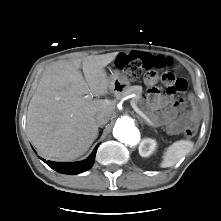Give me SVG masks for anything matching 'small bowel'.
<instances>
[{"instance_id":"small-bowel-1","label":"small bowel","mask_w":221,"mask_h":221,"mask_svg":"<svg viewBox=\"0 0 221 221\" xmlns=\"http://www.w3.org/2000/svg\"><path fill=\"white\" fill-rule=\"evenodd\" d=\"M121 54H130L133 57H137L140 54H147L151 57L154 56L150 53L136 51ZM156 80L157 77L155 74L146 78V84L151 87L148 99L152 108L156 111L159 121L166 126L169 133L175 134L184 123L195 121L198 117V113L195 109L180 113L179 105L172 103L170 96L160 94L153 88Z\"/></svg>"}]
</instances>
